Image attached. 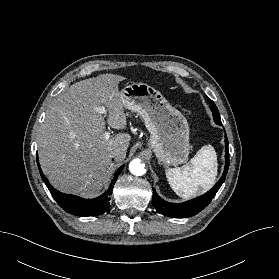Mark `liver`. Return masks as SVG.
Here are the masks:
<instances>
[{
  "label": "liver",
  "instance_id": "1",
  "mask_svg": "<svg viewBox=\"0 0 279 279\" xmlns=\"http://www.w3.org/2000/svg\"><path fill=\"white\" fill-rule=\"evenodd\" d=\"M125 77L101 74L74 83L50 105L37 135L39 161L50 183L59 191L92 198L106 182L112 161L110 151L119 149L123 161L130 144L128 133L104 138L106 122L125 129L127 119L119 91ZM108 110V118L99 111Z\"/></svg>",
  "mask_w": 279,
  "mask_h": 279
}]
</instances>
